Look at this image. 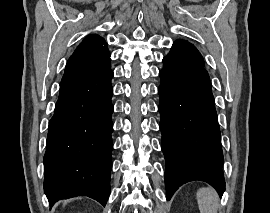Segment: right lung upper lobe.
Returning a JSON list of instances; mask_svg holds the SVG:
<instances>
[{
  "instance_id": "cb5924a9",
  "label": "right lung upper lobe",
  "mask_w": 270,
  "mask_h": 213,
  "mask_svg": "<svg viewBox=\"0 0 270 213\" xmlns=\"http://www.w3.org/2000/svg\"><path fill=\"white\" fill-rule=\"evenodd\" d=\"M110 53L104 38H84L69 58L60 86L90 79L110 70Z\"/></svg>"
}]
</instances>
